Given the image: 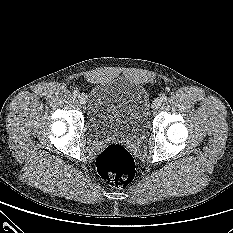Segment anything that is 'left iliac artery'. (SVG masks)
Wrapping results in <instances>:
<instances>
[{"label": "left iliac artery", "mask_w": 233, "mask_h": 233, "mask_svg": "<svg viewBox=\"0 0 233 233\" xmlns=\"http://www.w3.org/2000/svg\"><path fill=\"white\" fill-rule=\"evenodd\" d=\"M160 99H161L162 102H165L167 100V96L165 94H162L160 96Z\"/></svg>", "instance_id": "obj_1"}]
</instances>
